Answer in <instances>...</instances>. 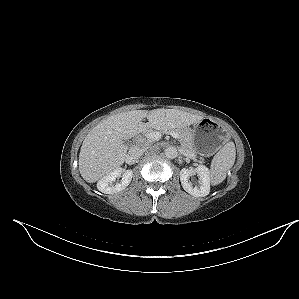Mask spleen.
I'll return each mask as SVG.
<instances>
[{"label":"spleen","instance_id":"3e777b00","mask_svg":"<svg viewBox=\"0 0 299 299\" xmlns=\"http://www.w3.org/2000/svg\"><path fill=\"white\" fill-rule=\"evenodd\" d=\"M235 157L236 149L233 142L225 144L214 156L210 169V181L212 185H218L225 180L227 172L234 165Z\"/></svg>","mask_w":299,"mask_h":299}]
</instances>
